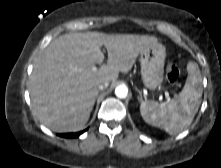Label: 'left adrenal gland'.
<instances>
[{
    "instance_id": "a2214340",
    "label": "left adrenal gland",
    "mask_w": 221,
    "mask_h": 168,
    "mask_svg": "<svg viewBox=\"0 0 221 168\" xmlns=\"http://www.w3.org/2000/svg\"><path fill=\"white\" fill-rule=\"evenodd\" d=\"M136 90L138 91V93H139V95H140V98H139L140 101L143 102L142 93H141L140 90H138L137 88H136Z\"/></svg>"
}]
</instances>
